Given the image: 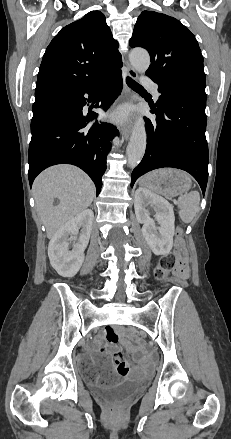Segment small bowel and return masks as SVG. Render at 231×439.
<instances>
[{"label":"small bowel","instance_id":"small-bowel-1","mask_svg":"<svg viewBox=\"0 0 231 439\" xmlns=\"http://www.w3.org/2000/svg\"><path fill=\"white\" fill-rule=\"evenodd\" d=\"M118 341H119V336L112 329H110L107 332L104 338L99 337L95 340V347L92 349V354L100 356L102 358L106 373H112L114 367L115 366L118 367L122 363L128 366V364L124 361V358L118 349ZM104 342L106 343V347L112 351L113 363H111L109 360L106 359V348L102 346ZM144 372L145 371L143 369L139 368L135 371V374L140 375L143 374Z\"/></svg>","mask_w":231,"mask_h":439}]
</instances>
